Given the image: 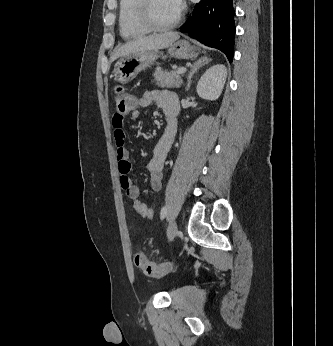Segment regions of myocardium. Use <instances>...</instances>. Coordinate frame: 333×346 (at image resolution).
I'll return each instance as SVG.
<instances>
[{"mask_svg":"<svg viewBox=\"0 0 333 346\" xmlns=\"http://www.w3.org/2000/svg\"><path fill=\"white\" fill-rule=\"evenodd\" d=\"M139 12H140V18L144 25L152 31H166L173 27H175L182 16V10L181 8L177 11L176 15L173 17V19L167 23L160 24L156 22L152 16L151 7H152V0H139Z\"/></svg>","mask_w":333,"mask_h":346,"instance_id":"obj_1","label":"myocardium"}]
</instances>
